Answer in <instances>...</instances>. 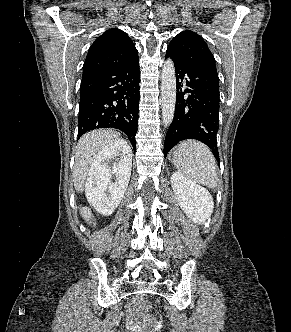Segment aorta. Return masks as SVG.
Segmentation results:
<instances>
[{
    "label": "aorta",
    "instance_id": "762f6f07",
    "mask_svg": "<svg viewBox=\"0 0 291 332\" xmlns=\"http://www.w3.org/2000/svg\"><path fill=\"white\" fill-rule=\"evenodd\" d=\"M162 120L165 128L173 121L176 104L175 67L171 59H167L161 74Z\"/></svg>",
    "mask_w": 291,
    "mask_h": 332
}]
</instances>
